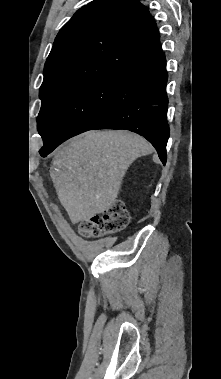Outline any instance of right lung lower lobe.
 Instances as JSON below:
<instances>
[{"label": "right lung lower lobe", "instance_id": "right-lung-lower-lobe-1", "mask_svg": "<svg viewBox=\"0 0 221 379\" xmlns=\"http://www.w3.org/2000/svg\"><path fill=\"white\" fill-rule=\"evenodd\" d=\"M166 83L163 53L126 71L120 76L108 111L92 129H127L138 133L155 147L165 165L169 138ZM63 141L58 139L49 148L41 149L40 155L47 156Z\"/></svg>", "mask_w": 221, "mask_h": 379}]
</instances>
